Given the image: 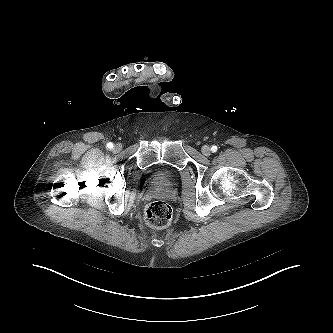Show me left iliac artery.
<instances>
[{
  "label": "left iliac artery",
  "mask_w": 333,
  "mask_h": 333,
  "mask_svg": "<svg viewBox=\"0 0 333 333\" xmlns=\"http://www.w3.org/2000/svg\"><path fill=\"white\" fill-rule=\"evenodd\" d=\"M217 146H215V145H213L212 147H211V151L214 153V152H216L217 151Z\"/></svg>",
  "instance_id": "44dca946"
}]
</instances>
